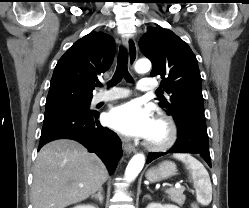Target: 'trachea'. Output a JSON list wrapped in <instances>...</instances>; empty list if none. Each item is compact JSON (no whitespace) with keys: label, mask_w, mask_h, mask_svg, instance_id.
<instances>
[{"label":"trachea","mask_w":249,"mask_h":208,"mask_svg":"<svg viewBox=\"0 0 249 208\" xmlns=\"http://www.w3.org/2000/svg\"><path fill=\"white\" fill-rule=\"evenodd\" d=\"M127 62H128V54H127L126 49L122 47L119 50L116 71L113 75V78L108 83L109 86L116 85L122 80V78L126 79V81L128 82L133 81L131 75L128 72ZM100 85L101 84L99 83L97 86H100Z\"/></svg>","instance_id":"obj_1"}]
</instances>
